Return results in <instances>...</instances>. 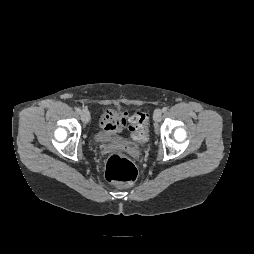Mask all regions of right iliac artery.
<instances>
[{
  "instance_id": "obj_1",
  "label": "right iliac artery",
  "mask_w": 254,
  "mask_h": 254,
  "mask_svg": "<svg viewBox=\"0 0 254 254\" xmlns=\"http://www.w3.org/2000/svg\"><path fill=\"white\" fill-rule=\"evenodd\" d=\"M76 112H77L78 114H80V113H81V109H80V108H76Z\"/></svg>"
}]
</instances>
